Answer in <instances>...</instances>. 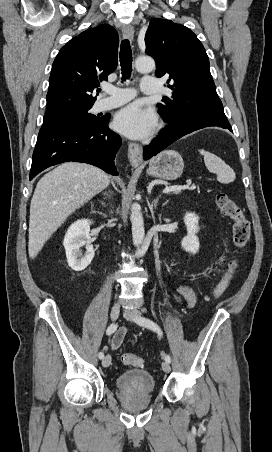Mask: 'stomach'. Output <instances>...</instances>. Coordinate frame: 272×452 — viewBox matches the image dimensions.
<instances>
[{
    "label": "stomach",
    "mask_w": 272,
    "mask_h": 452,
    "mask_svg": "<svg viewBox=\"0 0 272 452\" xmlns=\"http://www.w3.org/2000/svg\"><path fill=\"white\" fill-rule=\"evenodd\" d=\"M183 169L182 156L174 150H165L151 159L147 174L163 180H175L181 176Z\"/></svg>",
    "instance_id": "obj_1"
}]
</instances>
